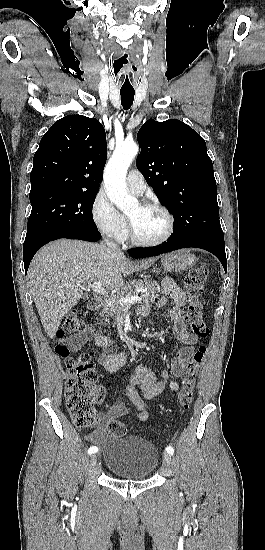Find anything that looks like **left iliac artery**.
I'll use <instances>...</instances> for the list:
<instances>
[{
	"mask_svg": "<svg viewBox=\"0 0 265 550\" xmlns=\"http://www.w3.org/2000/svg\"><path fill=\"white\" fill-rule=\"evenodd\" d=\"M166 451H167V453H169V454H171V455L174 453V449H173L172 446H167V447H166Z\"/></svg>",
	"mask_w": 265,
	"mask_h": 550,
	"instance_id": "obj_1",
	"label": "left iliac artery"
}]
</instances>
